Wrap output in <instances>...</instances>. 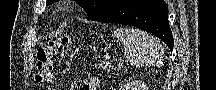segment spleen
<instances>
[{"mask_svg": "<svg viewBox=\"0 0 216 90\" xmlns=\"http://www.w3.org/2000/svg\"><path fill=\"white\" fill-rule=\"evenodd\" d=\"M115 38L122 42L124 56L132 66H150L158 62L162 56V46L157 38L137 30V28H118L114 32Z\"/></svg>", "mask_w": 216, "mask_h": 90, "instance_id": "spleen-1", "label": "spleen"}]
</instances>
